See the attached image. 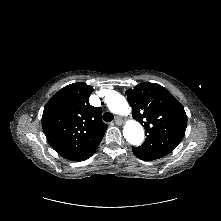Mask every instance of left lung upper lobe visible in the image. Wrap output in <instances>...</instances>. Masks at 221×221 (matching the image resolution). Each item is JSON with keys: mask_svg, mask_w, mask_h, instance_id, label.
<instances>
[{"mask_svg": "<svg viewBox=\"0 0 221 221\" xmlns=\"http://www.w3.org/2000/svg\"><path fill=\"white\" fill-rule=\"evenodd\" d=\"M132 107L133 118L146 131V139L139 147H133L141 158L159 159L172 152L181 142L187 116L184 107L163 86L143 82L126 91Z\"/></svg>", "mask_w": 221, "mask_h": 221, "instance_id": "1", "label": "left lung upper lobe"}]
</instances>
